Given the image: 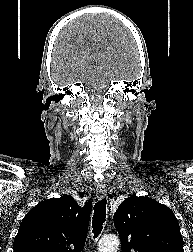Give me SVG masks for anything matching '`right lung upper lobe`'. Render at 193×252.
<instances>
[{"mask_svg":"<svg viewBox=\"0 0 193 252\" xmlns=\"http://www.w3.org/2000/svg\"><path fill=\"white\" fill-rule=\"evenodd\" d=\"M90 212L91 202L81 208L70 195L40 202L23 218L14 252H81Z\"/></svg>","mask_w":193,"mask_h":252,"instance_id":"right-lung-upper-lobe-1","label":"right lung upper lobe"}]
</instances>
